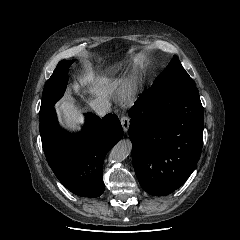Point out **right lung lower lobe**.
<instances>
[{
    "label": "right lung lower lobe",
    "mask_w": 240,
    "mask_h": 240,
    "mask_svg": "<svg viewBox=\"0 0 240 240\" xmlns=\"http://www.w3.org/2000/svg\"><path fill=\"white\" fill-rule=\"evenodd\" d=\"M78 135L61 129L55 109L40 121V136L47 162L58 180L72 193L98 197L104 192L103 162L107 152L122 138L115 114L102 119L87 113Z\"/></svg>",
    "instance_id": "obj_1"
}]
</instances>
